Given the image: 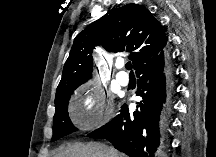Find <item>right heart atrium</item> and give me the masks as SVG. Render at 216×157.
I'll list each match as a JSON object with an SVG mask.
<instances>
[{"instance_id":"right-heart-atrium-1","label":"right heart atrium","mask_w":216,"mask_h":157,"mask_svg":"<svg viewBox=\"0 0 216 157\" xmlns=\"http://www.w3.org/2000/svg\"><path fill=\"white\" fill-rule=\"evenodd\" d=\"M82 100L79 112L74 115V123L88 130L101 126L114 114V105L105 98L95 85H85L80 90Z\"/></svg>"}]
</instances>
